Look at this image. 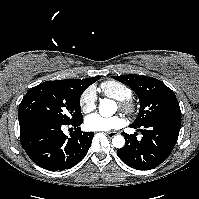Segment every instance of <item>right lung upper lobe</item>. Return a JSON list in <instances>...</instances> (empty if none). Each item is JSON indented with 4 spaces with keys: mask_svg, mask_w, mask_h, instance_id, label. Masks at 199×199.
<instances>
[{
    "mask_svg": "<svg viewBox=\"0 0 199 199\" xmlns=\"http://www.w3.org/2000/svg\"><path fill=\"white\" fill-rule=\"evenodd\" d=\"M99 77H93V78H86V79H70L72 82H74L76 85H79L81 87L87 88L89 85L94 83L98 80Z\"/></svg>",
    "mask_w": 199,
    "mask_h": 199,
    "instance_id": "right-lung-upper-lobe-1",
    "label": "right lung upper lobe"
}]
</instances>
